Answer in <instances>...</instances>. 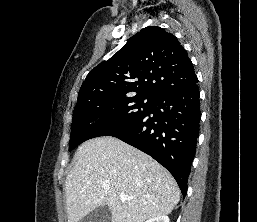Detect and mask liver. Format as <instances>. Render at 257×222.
Instances as JSON below:
<instances>
[{
	"instance_id": "1",
	"label": "liver",
	"mask_w": 257,
	"mask_h": 222,
	"mask_svg": "<svg viewBox=\"0 0 257 222\" xmlns=\"http://www.w3.org/2000/svg\"><path fill=\"white\" fill-rule=\"evenodd\" d=\"M65 181L68 222L108 206L112 222L168 215L180 200L172 175L149 155L114 137L84 142ZM119 193L134 197L122 201Z\"/></svg>"
}]
</instances>
